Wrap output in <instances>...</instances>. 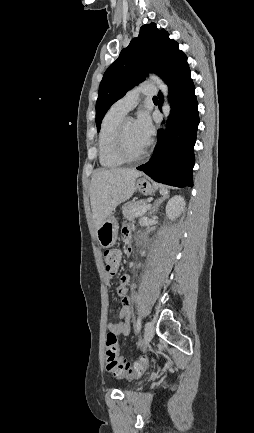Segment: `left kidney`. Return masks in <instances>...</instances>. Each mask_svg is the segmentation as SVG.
I'll list each match as a JSON object with an SVG mask.
<instances>
[{
  "instance_id": "1",
  "label": "left kidney",
  "mask_w": 254,
  "mask_h": 433,
  "mask_svg": "<svg viewBox=\"0 0 254 433\" xmlns=\"http://www.w3.org/2000/svg\"><path fill=\"white\" fill-rule=\"evenodd\" d=\"M185 201L180 195L172 197L166 205V214L171 219L174 220L180 216L181 212L184 210Z\"/></svg>"
}]
</instances>
